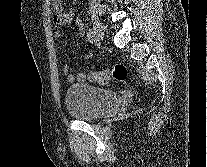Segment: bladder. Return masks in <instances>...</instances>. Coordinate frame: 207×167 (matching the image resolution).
I'll use <instances>...</instances> for the list:
<instances>
[{"mask_svg": "<svg viewBox=\"0 0 207 167\" xmlns=\"http://www.w3.org/2000/svg\"><path fill=\"white\" fill-rule=\"evenodd\" d=\"M116 98L112 90L74 83L67 87L64 103L70 115L80 120H89L101 115Z\"/></svg>", "mask_w": 207, "mask_h": 167, "instance_id": "obj_1", "label": "bladder"}]
</instances>
